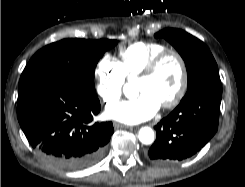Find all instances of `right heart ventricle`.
<instances>
[{"label":"right heart ventricle","mask_w":245,"mask_h":187,"mask_svg":"<svg viewBox=\"0 0 245 187\" xmlns=\"http://www.w3.org/2000/svg\"><path fill=\"white\" fill-rule=\"evenodd\" d=\"M166 49V45L154 41H136L121 46L118 50V63L125 78L137 76L153 56Z\"/></svg>","instance_id":"e07e8e85"}]
</instances>
